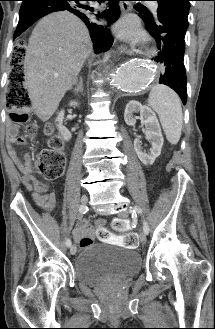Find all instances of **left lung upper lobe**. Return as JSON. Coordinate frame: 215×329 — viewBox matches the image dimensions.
I'll return each mask as SVG.
<instances>
[{
	"mask_svg": "<svg viewBox=\"0 0 215 329\" xmlns=\"http://www.w3.org/2000/svg\"><path fill=\"white\" fill-rule=\"evenodd\" d=\"M155 1L158 2L157 15H164L170 17L176 20L185 28H188V13H189L191 0H155ZM150 17L152 18V16Z\"/></svg>",
	"mask_w": 215,
	"mask_h": 329,
	"instance_id": "1",
	"label": "left lung upper lobe"
}]
</instances>
